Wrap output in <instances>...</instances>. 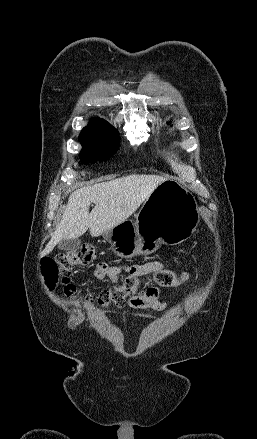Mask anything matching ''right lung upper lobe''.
Masks as SVG:
<instances>
[{"label": "right lung upper lobe", "mask_w": 257, "mask_h": 439, "mask_svg": "<svg viewBox=\"0 0 257 439\" xmlns=\"http://www.w3.org/2000/svg\"><path fill=\"white\" fill-rule=\"evenodd\" d=\"M94 120H99V121H104V122H106L105 120H103V119H101V118H92L91 121H94Z\"/></svg>", "instance_id": "1"}]
</instances>
